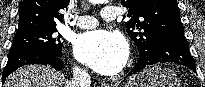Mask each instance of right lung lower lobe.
<instances>
[{
  "label": "right lung lower lobe",
  "instance_id": "98d812e1",
  "mask_svg": "<svg viewBox=\"0 0 205 87\" xmlns=\"http://www.w3.org/2000/svg\"><path fill=\"white\" fill-rule=\"evenodd\" d=\"M27 64L51 65L61 70L63 68L62 53L55 54L32 47L11 48L7 65L2 73V82L4 83L6 77L14 70Z\"/></svg>",
  "mask_w": 205,
  "mask_h": 87
}]
</instances>
